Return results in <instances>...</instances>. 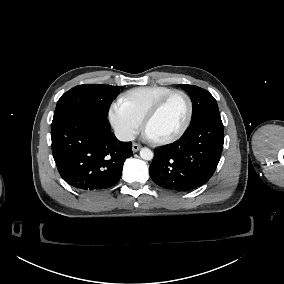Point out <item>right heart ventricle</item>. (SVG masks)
I'll return each mask as SVG.
<instances>
[{
  "label": "right heart ventricle",
  "instance_id": "right-heart-ventricle-1",
  "mask_svg": "<svg viewBox=\"0 0 284 284\" xmlns=\"http://www.w3.org/2000/svg\"><path fill=\"white\" fill-rule=\"evenodd\" d=\"M175 90L172 87L152 85L132 88L122 93L116 102L121 111L142 122L148 111L166 94Z\"/></svg>",
  "mask_w": 284,
  "mask_h": 284
}]
</instances>
